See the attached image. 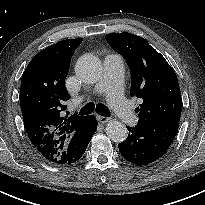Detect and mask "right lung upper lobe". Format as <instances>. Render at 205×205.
Segmentation results:
<instances>
[{
	"label": "right lung upper lobe",
	"mask_w": 205,
	"mask_h": 205,
	"mask_svg": "<svg viewBox=\"0 0 205 205\" xmlns=\"http://www.w3.org/2000/svg\"><path fill=\"white\" fill-rule=\"evenodd\" d=\"M82 38L51 45L28 64L23 73L20 105L26 132L37 151L53 163L62 161L70 137L88 116H63L70 99L65 87L70 61Z\"/></svg>",
	"instance_id": "right-lung-upper-lobe-1"
}]
</instances>
